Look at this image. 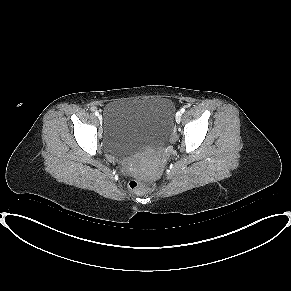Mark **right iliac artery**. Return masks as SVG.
Listing matches in <instances>:
<instances>
[{
    "label": "right iliac artery",
    "mask_w": 291,
    "mask_h": 291,
    "mask_svg": "<svg viewBox=\"0 0 291 291\" xmlns=\"http://www.w3.org/2000/svg\"><path fill=\"white\" fill-rule=\"evenodd\" d=\"M95 115L98 116L99 115V112L98 111H95Z\"/></svg>",
    "instance_id": "82829eb1"
}]
</instances>
